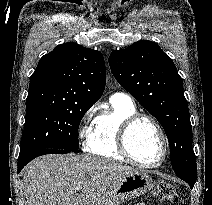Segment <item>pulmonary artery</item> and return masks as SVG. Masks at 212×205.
<instances>
[{
    "instance_id": "e3ab8cb5",
    "label": "pulmonary artery",
    "mask_w": 212,
    "mask_h": 205,
    "mask_svg": "<svg viewBox=\"0 0 212 205\" xmlns=\"http://www.w3.org/2000/svg\"><path fill=\"white\" fill-rule=\"evenodd\" d=\"M111 97L112 98H121V99H124L127 101H132L131 97L128 94L123 93V92H116Z\"/></svg>"
}]
</instances>
